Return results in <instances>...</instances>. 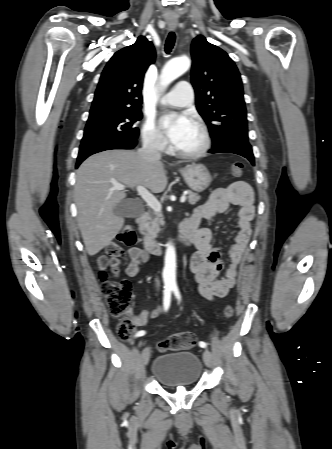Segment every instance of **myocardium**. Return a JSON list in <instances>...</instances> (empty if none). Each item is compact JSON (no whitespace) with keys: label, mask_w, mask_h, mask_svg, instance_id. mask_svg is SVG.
<instances>
[{"label":"myocardium","mask_w":332,"mask_h":449,"mask_svg":"<svg viewBox=\"0 0 332 449\" xmlns=\"http://www.w3.org/2000/svg\"><path fill=\"white\" fill-rule=\"evenodd\" d=\"M194 125L200 131L201 144L196 149L190 150V151L175 148V152L178 155H180L181 157L189 158V159L199 158V157L204 156L209 151V149L211 147V136H210V132H209L208 128L206 127V125L199 120H196Z\"/></svg>","instance_id":"myocardium-1"}]
</instances>
